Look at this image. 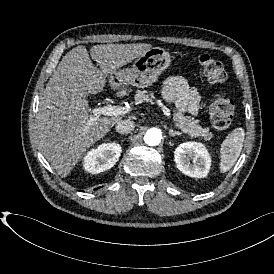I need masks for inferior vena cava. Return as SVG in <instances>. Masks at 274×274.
I'll list each match as a JSON object with an SVG mask.
<instances>
[{
  "label": "inferior vena cava",
  "mask_w": 274,
  "mask_h": 274,
  "mask_svg": "<svg viewBox=\"0 0 274 274\" xmlns=\"http://www.w3.org/2000/svg\"><path fill=\"white\" fill-rule=\"evenodd\" d=\"M135 124L131 120H121L116 124V131L120 134H128L134 130Z\"/></svg>",
  "instance_id": "602c4592"
}]
</instances>
